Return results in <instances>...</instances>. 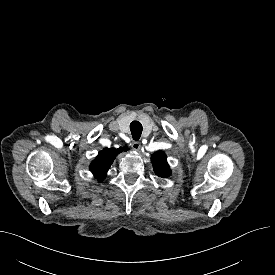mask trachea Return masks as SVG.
Segmentation results:
<instances>
[{
  "instance_id": "3493384b",
  "label": "trachea",
  "mask_w": 275,
  "mask_h": 275,
  "mask_svg": "<svg viewBox=\"0 0 275 275\" xmlns=\"http://www.w3.org/2000/svg\"><path fill=\"white\" fill-rule=\"evenodd\" d=\"M142 124L139 121H133L130 124V131L132 134V138L137 141L139 140L141 134H142Z\"/></svg>"
}]
</instances>
